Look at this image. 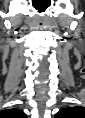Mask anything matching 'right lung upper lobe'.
Wrapping results in <instances>:
<instances>
[{
    "label": "right lung upper lobe",
    "mask_w": 85,
    "mask_h": 118,
    "mask_svg": "<svg viewBox=\"0 0 85 118\" xmlns=\"http://www.w3.org/2000/svg\"><path fill=\"white\" fill-rule=\"evenodd\" d=\"M10 112H13V113H20L18 109H11Z\"/></svg>",
    "instance_id": "obj_1"
}]
</instances>
